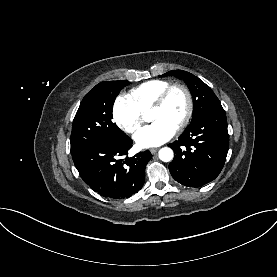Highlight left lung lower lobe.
Segmentation results:
<instances>
[{
  "label": "left lung lower lobe",
  "mask_w": 277,
  "mask_h": 277,
  "mask_svg": "<svg viewBox=\"0 0 277 277\" xmlns=\"http://www.w3.org/2000/svg\"><path fill=\"white\" fill-rule=\"evenodd\" d=\"M169 146L175 153L169 170L177 182L200 187L214 180L224 166L229 149L223 107H213L190 123L179 139Z\"/></svg>",
  "instance_id": "left-lung-lower-lobe-1"
}]
</instances>
